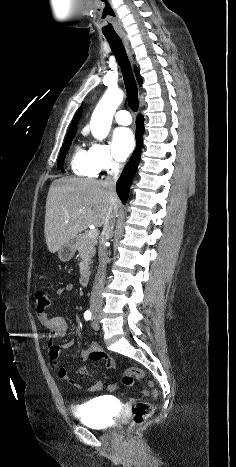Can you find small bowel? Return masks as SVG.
<instances>
[{
	"label": "small bowel",
	"instance_id": "obj_1",
	"mask_svg": "<svg viewBox=\"0 0 236 467\" xmlns=\"http://www.w3.org/2000/svg\"><path fill=\"white\" fill-rule=\"evenodd\" d=\"M73 289H74L73 284L68 283L65 286L59 288L56 291V294H57V296L62 297L66 293L72 292ZM38 317H39V320H40L41 324L48 331V333H47V344H48V349H49V356H50V359H51L53 365L57 368L58 376L61 379L65 380V381H68L74 387L81 388L82 387L81 383L74 380L71 377L68 370L61 366V362H60L61 350H66V349H69L70 347H72L73 340L67 341L66 343H64L60 347L56 346L54 344V341L56 339L63 338L67 334L68 323H67L66 319L63 316H50L45 312L44 313H39ZM96 352L103 353L98 345H94L90 349L84 351L81 354V360L83 362H86V361H103L105 363V365L107 366V368L110 371L114 372L116 370V362L111 357L107 356L105 353H103L104 358L102 360H93L91 358V356H92V354H94ZM78 373L80 375H84L86 373V368L81 367L78 370ZM102 388H103V383L101 381H97L96 383L91 385L87 389V391L94 393V392L101 391ZM117 388H118L117 383H111V384L108 385V390L110 392L116 391Z\"/></svg>",
	"mask_w": 236,
	"mask_h": 467
}]
</instances>
